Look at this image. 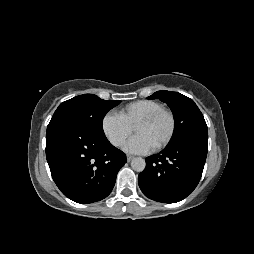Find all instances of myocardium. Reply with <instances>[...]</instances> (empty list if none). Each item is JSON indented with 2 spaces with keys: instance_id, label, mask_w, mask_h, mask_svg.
<instances>
[{
  "instance_id": "f54148a6",
  "label": "myocardium",
  "mask_w": 254,
  "mask_h": 254,
  "mask_svg": "<svg viewBox=\"0 0 254 254\" xmlns=\"http://www.w3.org/2000/svg\"><path fill=\"white\" fill-rule=\"evenodd\" d=\"M161 115L168 116V118L170 120V130H169V133L166 136V138L160 144H158L157 146L153 147V149L155 151H159V150L165 148L170 143V141L172 140V138H173V136L175 134V131H176V118H175L174 113L171 110H169V109L161 108V109L156 110V111L152 112L151 114L145 116L144 118L140 119L135 124V127L139 126V125L149 124V123L153 122L155 119H157Z\"/></svg>"
}]
</instances>
